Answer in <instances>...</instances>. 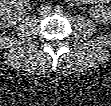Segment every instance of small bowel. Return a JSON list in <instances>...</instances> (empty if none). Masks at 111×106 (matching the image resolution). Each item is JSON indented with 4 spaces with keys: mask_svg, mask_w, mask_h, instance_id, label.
Listing matches in <instances>:
<instances>
[{
    "mask_svg": "<svg viewBox=\"0 0 111 106\" xmlns=\"http://www.w3.org/2000/svg\"><path fill=\"white\" fill-rule=\"evenodd\" d=\"M82 2H93V1H89V0H88V1H82ZM95 2H96V1H95Z\"/></svg>",
    "mask_w": 111,
    "mask_h": 106,
    "instance_id": "1",
    "label": "small bowel"
}]
</instances>
